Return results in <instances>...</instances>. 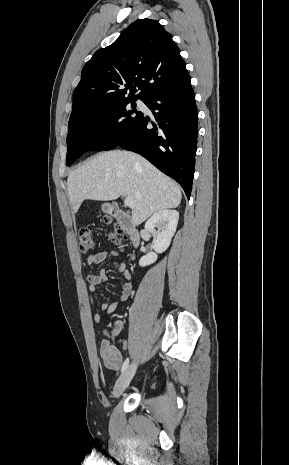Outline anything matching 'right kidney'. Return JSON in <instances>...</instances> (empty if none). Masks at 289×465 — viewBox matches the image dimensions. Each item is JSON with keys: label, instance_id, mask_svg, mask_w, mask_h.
Returning a JSON list of instances; mask_svg holds the SVG:
<instances>
[{"label": "right kidney", "instance_id": "ca27d5eb", "mask_svg": "<svg viewBox=\"0 0 289 465\" xmlns=\"http://www.w3.org/2000/svg\"><path fill=\"white\" fill-rule=\"evenodd\" d=\"M179 213L176 210H160L155 212L145 223V229L152 234H155V228L160 232L156 234V239L153 244L155 252H150L146 256L141 257L139 265L141 267L148 266L157 260V254L164 252L170 245L171 239L174 236L178 224Z\"/></svg>", "mask_w": 289, "mask_h": 465}]
</instances>
